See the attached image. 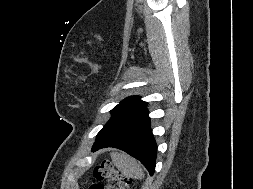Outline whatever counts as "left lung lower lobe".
<instances>
[{
	"mask_svg": "<svg viewBox=\"0 0 253 189\" xmlns=\"http://www.w3.org/2000/svg\"><path fill=\"white\" fill-rule=\"evenodd\" d=\"M105 147H114L127 152L141 161L150 175H153L157 146L150 129L148 111L106 134L97 136L93 151Z\"/></svg>",
	"mask_w": 253,
	"mask_h": 189,
	"instance_id": "obj_1",
	"label": "left lung lower lobe"
}]
</instances>
